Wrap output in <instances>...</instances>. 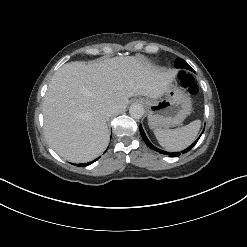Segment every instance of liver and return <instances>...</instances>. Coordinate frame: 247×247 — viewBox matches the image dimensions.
I'll use <instances>...</instances> for the list:
<instances>
[{
	"label": "liver",
	"mask_w": 247,
	"mask_h": 247,
	"mask_svg": "<svg viewBox=\"0 0 247 247\" xmlns=\"http://www.w3.org/2000/svg\"><path fill=\"white\" fill-rule=\"evenodd\" d=\"M175 75L132 56L65 64L52 76L43 101L48 144L70 162L93 160L109 144L102 111L122 112L133 96L157 99Z\"/></svg>",
	"instance_id": "liver-1"
}]
</instances>
